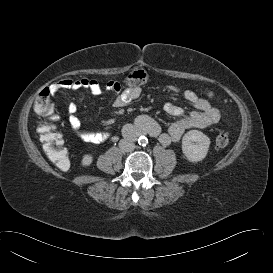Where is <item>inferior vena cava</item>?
<instances>
[{
  "instance_id": "602c4592",
  "label": "inferior vena cava",
  "mask_w": 273,
  "mask_h": 273,
  "mask_svg": "<svg viewBox=\"0 0 273 273\" xmlns=\"http://www.w3.org/2000/svg\"><path fill=\"white\" fill-rule=\"evenodd\" d=\"M119 147L121 150L125 151V152H130L133 151L135 148V145L133 142H130L126 139H122L119 142Z\"/></svg>"
}]
</instances>
